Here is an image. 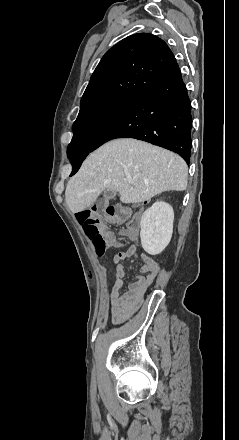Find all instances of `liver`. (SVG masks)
<instances>
[{
  "mask_svg": "<svg viewBox=\"0 0 239 440\" xmlns=\"http://www.w3.org/2000/svg\"><path fill=\"white\" fill-rule=\"evenodd\" d=\"M187 180L188 166L177 154L133 138H120L84 160L66 186L65 200L69 210L77 214L89 210L106 188L119 192L123 204H137L166 190L183 192Z\"/></svg>",
  "mask_w": 239,
  "mask_h": 440,
  "instance_id": "1",
  "label": "liver"
}]
</instances>
